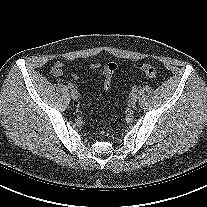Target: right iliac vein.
<instances>
[{
  "label": "right iliac vein",
  "instance_id": "obj_1",
  "mask_svg": "<svg viewBox=\"0 0 207 207\" xmlns=\"http://www.w3.org/2000/svg\"><path fill=\"white\" fill-rule=\"evenodd\" d=\"M70 94H71V97H72L73 99H77V98H78V92H77V90H75V89H71Z\"/></svg>",
  "mask_w": 207,
  "mask_h": 207
}]
</instances>
